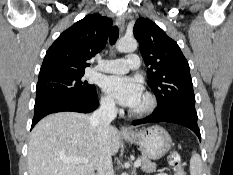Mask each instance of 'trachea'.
Here are the masks:
<instances>
[{
	"label": "trachea",
	"mask_w": 233,
	"mask_h": 175,
	"mask_svg": "<svg viewBox=\"0 0 233 175\" xmlns=\"http://www.w3.org/2000/svg\"><path fill=\"white\" fill-rule=\"evenodd\" d=\"M119 37V29L117 26H114L109 35V41L111 45H114Z\"/></svg>",
	"instance_id": "trachea-1"
}]
</instances>
